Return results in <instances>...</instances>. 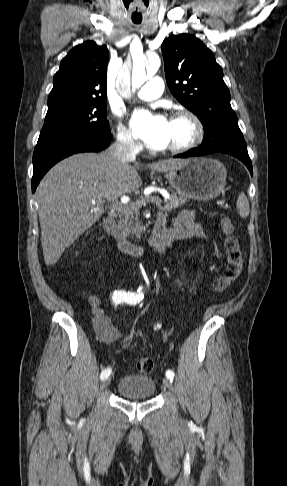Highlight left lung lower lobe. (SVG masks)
<instances>
[{"label":"left lung lower lobe","mask_w":287,"mask_h":486,"mask_svg":"<svg viewBox=\"0 0 287 486\" xmlns=\"http://www.w3.org/2000/svg\"><path fill=\"white\" fill-rule=\"evenodd\" d=\"M214 152L215 151L204 150V149H200V148H194V149H191V150H189L185 153L179 154L175 157L187 158V157H194V156H202V155L211 154V153H214ZM222 153L230 154L232 156H235L239 160H241L247 166L251 175H253L252 163H251V160L249 158L248 153H233V152H222Z\"/></svg>","instance_id":"obj_1"}]
</instances>
